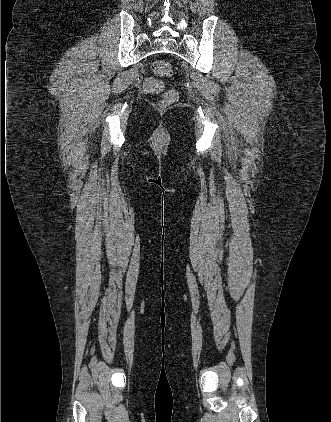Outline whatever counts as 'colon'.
Instances as JSON below:
<instances>
[{
    "instance_id": "1",
    "label": "colon",
    "mask_w": 331,
    "mask_h": 422,
    "mask_svg": "<svg viewBox=\"0 0 331 422\" xmlns=\"http://www.w3.org/2000/svg\"><path fill=\"white\" fill-rule=\"evenodd\" d=\"M153 72L160 77H167L171 74V65L168 61L158 60L153 64ZM177 99V94L174 91H166L159 102L161 107H168Z\"/></svg>"
}]
</instances>
